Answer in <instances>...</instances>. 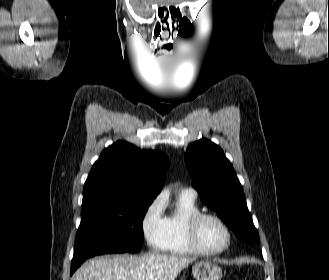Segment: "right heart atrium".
<instances>
[{
    "label": "right heart atrium",
    "instance_id": "d8ad5b80",
    "mask_svg": "<svg viewBox=\"0 0 329 280\" xmlns=\"http://www.w3.org/2000/svg\"><path fill=\"white\" fill-rule=\"evenodd\" d=\"M165 199L156 196L145 208L141 221L143 237L151 249L161 250L166 235Z\"/></svg>",
    "mask_w": 329,
    "mask_h": 280
}]
</instances>
